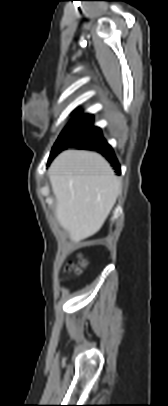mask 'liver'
I'll return each instance as SVG.
<instances>
[{"label":"liver","instance_id":"1","mask_svg":"<svg viewBox=\"0 0 168 406\" xmlns=\"http://www.w3.org/2000/svg\"><path fill=\"white\" fill-rule=\"evenodd\" d=\"M56 198V218L78 243L97 233L111 212L121 182L109 163L98 153L66 150L49 169Z\"/></svg>","mask_w":168,"mask_h":406}]
</instances>
